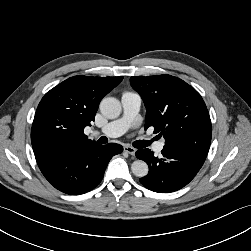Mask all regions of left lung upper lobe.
<instances>
[{"label":"left lung upper lobe","mask_w":251,"mask_h":251,"mask_svg":"<svg viewBox=\"0 0 251 251\" xmlns=\"http://www.w3.org/2000/svg\"><path fill=\"white\" fill-rule=\"evenodd\" d=\"M131 86L146 106L145 129L160 132L165 146L192 148L208 153L212 126L201 95L183 80L171 75L133 76Z\"/></svg>","instance_id":"5c2ea615"}]
</instances>
